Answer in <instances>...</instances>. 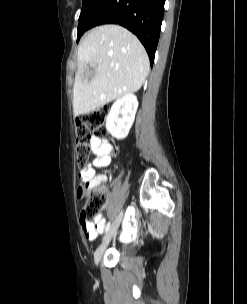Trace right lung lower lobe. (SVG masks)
<instances>
[{
	"instance_id": "right-lung-lower-lobe-1",
	"label": "right lung lower lobe",
	"mask_w": 247,
	"mask_h": 304,
	"mask_svg": "<svg viewBox=\"0 0 247 304\" xmlns=\"http://www.w3.org/2000/svg\"><path fill=\"white\" fill-rule=\"evenodd\" d=\"M165 0H101L83 19L84 32L101 24H119L144 45L151 66L160 36Z\"/></svg>"
}]
</instances>
